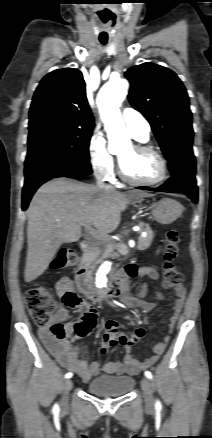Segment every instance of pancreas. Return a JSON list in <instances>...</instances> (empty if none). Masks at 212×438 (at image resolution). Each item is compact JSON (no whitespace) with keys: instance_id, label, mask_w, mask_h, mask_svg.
Segmentation results:
<instances>
[{"instance_id":"obj_1","label":"pancreas","mask_w":212,"mask_h":438,"mask_svg":"<svg viewBox=\"0 0 212 438\" xmlns=\"http://www.w3.org/2000/svg\"><path fill=\"white\" fill-rule=\"evenodd\" d=\"M147 236H139L138 238V245L137 248L139 250H146L150 247L152 240H153V232L152 230L147 226L146 227ZM115 254L113 252V248L110 245H106L104 248L96 249L90 258L88 259V264H94L99 263L103 259L108 257H113Z\"/></svg>"}]
</instances>
